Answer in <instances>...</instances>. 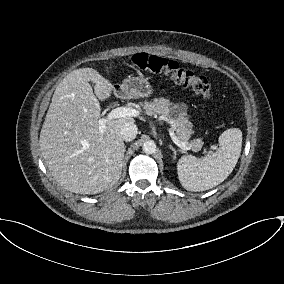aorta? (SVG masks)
Segmentation results:
<instances>
[{"label": "aorta", "mask_w": 284, "mask_h": 284, "mask_svg": "<svg viewBox=\"0 0 284 284\" xmlns=\"http://www.w3.org/2000/svg\"><path fill=\"white\" fill-rule=\"evenodd\" d=\"M143 151L146 154H153L156 151V144L153 140H148L143 144Z\"/></svg>", "instance_id": "aorta-1"}]
</instances>
